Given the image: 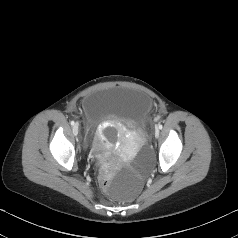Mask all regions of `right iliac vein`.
<instances>
[{
	"label": "right iliac vein",
	"instance_id": "right-iliac-vein-1",
	"mask_svg": "<svg viewBox=\"0 0 238 238\" xmlns=\"http://www.w3.org/2000/svg\"><path fill=\"white\" fill-rule=\"evenodd\" d=\"M73 134L74 135H78V133H79V124L78 123H75L74 125H73Z\"/></svg>",
	"mask_w": 238,
	"mask_h": 238
}]
</instances>
